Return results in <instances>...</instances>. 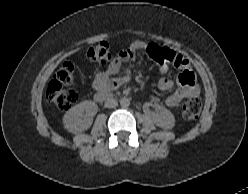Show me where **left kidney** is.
Masks as SVG:
<instances>
[{
	"instance_id": "1",
	"label": "left kidney",
	"mask_w": 248,
	"mask_h": 194,
	"mask_svg": "<svg viewBox=\"0 0 248 194\" xmlns=\"http://www.w3.org/2000/svg\"><path fill=\"white\" fill-rule=\"evenodd\" d=\"M154 123L163 129H172L175 123L173 114L166 108L154 115Z\"/></svg>"
}]
</instances>
